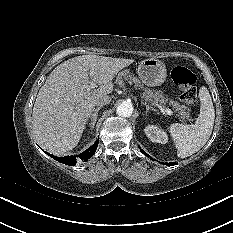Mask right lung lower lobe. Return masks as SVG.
<instances>
[{
  "label": "right lung lower lobe",
  "instance_id": "1",
  "mask_svg": "<svg viewBox=\"0 0 233 233\" xmlns=\"http://www.w3.org/2000/svg\"><path fill=\"white\" fill-rule=\"evenodd\" d=\"M97 146H98V141H96L94 143V145H92L91 147H89L86 151L80 153L79 155L77 156H65V157H55L47 152H45L46 154H48L50 157H52L53 159L63 163V164H66V165H69V166H74L76 164V159L77 157L79 159H81L82 161H87L90 157H92L97 149Z\"/></svg>",
  "mask_w": 233,
  "mask_h": 233
}]
</instances>
